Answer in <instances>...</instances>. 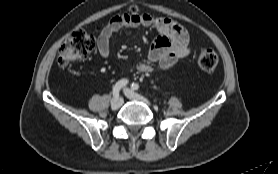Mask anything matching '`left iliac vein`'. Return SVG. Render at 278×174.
<instances>
[{
    "label": "left iliac vein",
    "mask_w": 278,
    "mask_h": 174,
    "mask_svg": "<svg viewBox=\"0 0 278 174\" xmlns=\"http://www.w3.org/2000/svg\"><path fill=\"white\" fill-rule=\"evenodd\" d=\"M124 93L127 98L132 100H137L144 102L145 104L150 105V102L143 96L139 95L138 93H135L134 91L130 90L129 88L124 89Z\"/></svg>",
    "instance_id": "1"
}]
</instances>
